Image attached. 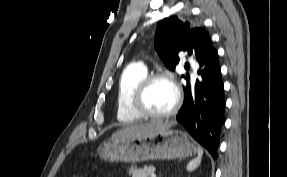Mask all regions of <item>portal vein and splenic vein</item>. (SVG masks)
I'll use <instances>...</instances> for the list:
<instances>
[{"mask_svg":"<svg viewBox=\"0 0 287 177\" xmlns=\"http://www.w3.org/2000/svg\"><path fill=\"white\" fill-rule=\"evenodd\" d=\"M150 176H151V177H156V175H155L154 173H153V174H151Z\"/></svg>","mask_w":287,"mask_h":177,"instance_id":"18ae733b","label":"portal vein and splenic vein"}]
</instances>
